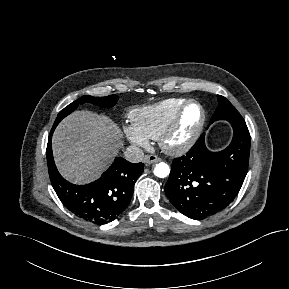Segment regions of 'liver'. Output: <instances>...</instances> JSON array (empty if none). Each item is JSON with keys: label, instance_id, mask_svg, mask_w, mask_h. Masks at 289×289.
Segmentation results:
<instances>
[{"label": "liver", "instance_id": "1", "mask_svg": "<svg viewBox=\"0 0 289 289\" xmlns=\"http://www.w3.org/2000/svg\"><path fill=\"white\" fill-rule=\"evenodd\" d=\"M52 143L60 173L83 184L97 179L110 165L121 146V133L106 116L75 111L57 126Z\"/></svg>", "mask_w": 289, "mask_h": 289}]
</instances>
